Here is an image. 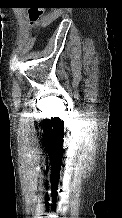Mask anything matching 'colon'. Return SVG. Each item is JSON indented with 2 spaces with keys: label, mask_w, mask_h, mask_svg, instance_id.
Masks as SVG:
<instances>
[{
  "label": "colon",
  "mask_w": 122,
  "mask_h": 218,
  "mask_svg": "<svg viewBox=\"0 0 122 218\" xmlns=\"http://www.w3.org/2000/svg\"><path fill=\"white\" fill-rule=\"evenodd\" d=\"M40 16H41V12L40 11L33 10V11L30 12V20L32 22L38 21Z\"/></svg>",
  "instance_id": "colon-1"
}]
</instances>
